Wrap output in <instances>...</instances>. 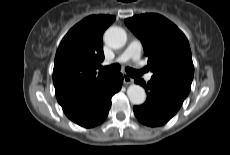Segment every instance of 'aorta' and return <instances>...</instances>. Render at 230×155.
Returning <instances> with one entry per match:
<instances>
[{"label":"aorta","instance_id":"762f6f07","mask_svg":"<svg viewBox=\"0 0 230 155\" xmlns=\"http://www.w3.org/2000/svg\"><path fill=\"white\" fill-rule=\"evenodd\" d=\"M127 35L124 29L118 26L108 28L104 34L105 43L113 48L119 49L126 44ZM127 95L132 104L140 105L146 100V93L140 85L132 84L127 89Z\"/></svg>","mask_w":230,"mask_h":155}]
</instances>
